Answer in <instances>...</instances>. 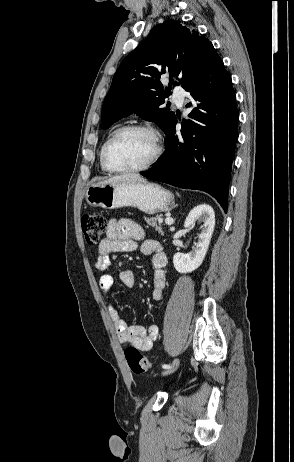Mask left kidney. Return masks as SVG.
<instances>
[{"mask_svg": "<svg viewBox=\"0 0 294 462\" xmlns=\"http://www.w3.org/2000/svg\"><path fill=\"white\" fill-rule=\"evenodd\" d=\"M203 222L202 231L198 236V242L187 253H176L173 256V264L179 273H189L197 269L203 262L215 227V213L211 206L201 204L194 207L188 214L184 227L189 228L196 221Z\"/></svg>", "mask_w": 294, "mask_h": 462, "instance_id": "1", "label": "left kidney"}]
</instances>
